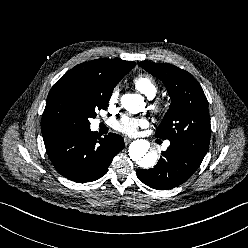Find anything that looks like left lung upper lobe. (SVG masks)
<instances>
[{
    "label": "left lung upper lobe",
    "instance_id": "obj_1",
    "mask_svg": "<svg viewBox=\"0 0 248 248\" xmlns=\"http://www.w3.org/2000/svg\"><path fill=\"white\" fill-rule=\"evenodd\" d=\"M138 64L163 81L172 100L156 136L204 157L211 126L208 101L199 83L190 73L168 63L143 61Z\"/></svg>",
    "mask_w": 248,
    "mask_h": 248
}]
</instances>
